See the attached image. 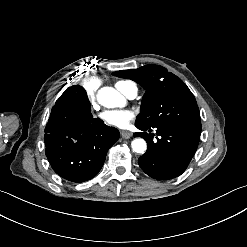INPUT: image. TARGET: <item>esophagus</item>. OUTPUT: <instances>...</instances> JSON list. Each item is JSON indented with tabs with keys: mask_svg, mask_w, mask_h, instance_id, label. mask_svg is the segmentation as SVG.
Segmentation results:
<instances>
[{
	"mask_svg": "<svg viewBox=\"0 0 247 247\" xmlns=\"http://www.w3.org/2000/svg\"><path fill=\"white\" fill-rule=\"evenodd\" d=\"M132 135H133V133L130 132V131H122V132H121V136H122V138H124V139H129V138L132 137Z\"/></svg>",
	"mask_w": 247,
	"mask_h": 247,
	"instance_id": "34e87169",
	"label": "esophagus"
}]
</instances>
